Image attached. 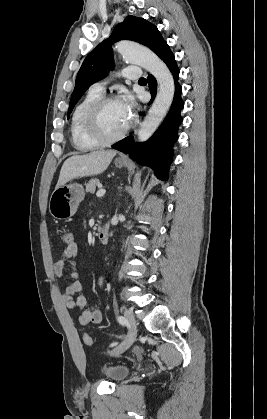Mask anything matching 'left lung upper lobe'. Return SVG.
Wrapping results in <instances>:
<instances>
[{
    "label": "left lung upper lobe",
    "instance_id": "1",
    "mask_svg": "<svg viewBox=\"0 0 267 419\" xmlns=\"http://www.w3.org/2000/svg\"><path fill=\"white\" fill-rule=\"evenodd\" d=\"M128 39L149 47L159 55L167 44L157 27L143 18L128 16L123 23H119L109 39L101 42L85 58L77 74L75 88L71 96L68 115L72 112L78 100L95 82L103 79L114 67L111 44L119 40Z\"/></svg>",
    "mask_w": 267,
    "mask_h": 419
}]
</instances>
